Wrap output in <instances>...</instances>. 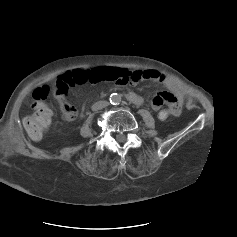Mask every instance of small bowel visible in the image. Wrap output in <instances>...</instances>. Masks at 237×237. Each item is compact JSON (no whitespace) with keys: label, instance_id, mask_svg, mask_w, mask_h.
Listing matches in <instances>:
<instances>
[{"label":"small bowel","instance_id":"small-bowel-1","mask_svg":"<svg viewBox=\"0 0 237 237\" xmlns=\"http://www.w3.org/2000/svg\"><path fill=\"white\" fill-rule=\"evenodd\" d=\"M133 77L134 81L137 80H152L156 83L163 84L167 90L158 92L153 99L151 100V106L153 110L158 111L161 107L166 104L170 110L173 111V115L178 116L181 113L184 98L176 84L167 79L161 73L154 70H135V71H127ZM62 108L66 104V100L64 97L57 96ZM128 99L134 103L139 102L140 98L135 93H129ZM64 118L66 120H72L74 116H69L63 111Z\"/></svg>","mask_w":237,"mask_h":237}]
</instances>
